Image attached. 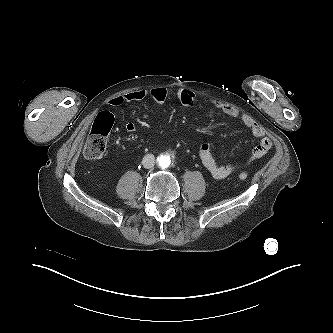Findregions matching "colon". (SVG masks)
<instances>
[{
	"label": "colon",
	"mask_w": 333,
	"mask_h": 333,
	"mask_svg": "<svg viewBox=\"0 0 333 333\" xmlns=\"http://www.w3.org/2000/svg\"><path fill=\"white\" fill-rule=\"evenodd\" d=\"M113 123L114 117L110 112L103 111L97 115L84 146V156L88 160H98L103 157ZM247 177L248 174L245 172L239 174L241 180Z\"/></svg>",
	"instance_id": "obj_1"
}]
</instances>
